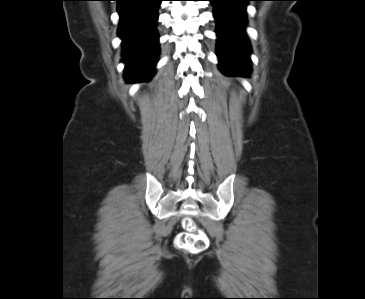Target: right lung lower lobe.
<instances>
[{
    "label": "right lung lower lobe",
    "instance_id": "98d812e1",
    "mask_svg": "<svg viewBox=\"0 0 365 299\" xmlns=\"http://www.w3.org/2000/svg\"><path fill=\"white\" fill-rule=\"evenodd\" d=\"M127 82L148 81L157 63V10L162 0H116Z\"/></svg>",
    "mask_w": 365,
    "mask_h": 299
}]
</instances>
